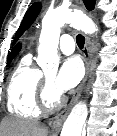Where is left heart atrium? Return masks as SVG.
<instances>
[{
	"instance_id": "39dd6f15",
	"label": "left heart atrium",
	"mask_w": 117,
	"mask_h": 136,
	"mask_svg": "<svg viewBox=\"0 0 117 136\" xmlns=\"http://www.w3.org/2000/svg\"><path fill=\"white\" fill-rule=\"evenodd\" d=\"M82 76L83 67L80 60L75 57L66 58L59 68L53 89L60 95L74 88L80 82Z\"/></svg>"
}]
</instances>
